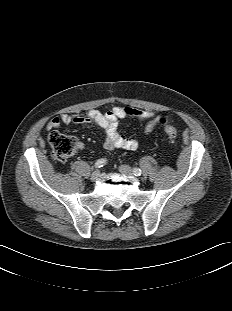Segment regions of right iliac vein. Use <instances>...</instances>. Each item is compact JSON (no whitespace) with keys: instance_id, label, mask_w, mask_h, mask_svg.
Masks as SVG:
<instances>
[{"instance_id":"obj_1","label":"right iliac vein","mask_w":232,"mask_h":311,"mask_svg":"<svg viewBox=\"0 0 232 311\" xmlns=\"http://www.w3.org/2000/svg\"><path fill=\"white\" fill-rule=\"evenodd\" d=\"M99 177H100V171H99V170H95V171L91 174L90 180H91L92 182H96V181L99 179Z\"/></svg>"}]
</instances>
